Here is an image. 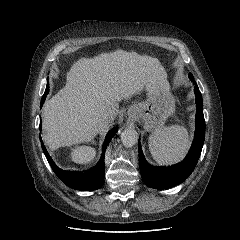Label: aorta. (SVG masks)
I'll use <instances>...</instances> for the list:
<instances>
[{"label": "aorta", "instance_id": "762f6f07", "mask_svg": "<svg viewBox=\"0 0 240 240\" xmlns=\"http://www.w3.org/2000/svg\"><path fill=\"white\" fill-rule=\"evenodd\" d=\"M138 140V133L133 128H127L121 133V142L125 147H132Z\"/></svg>", "mask_w": 240, "mask_h": 240}]
</instances>
